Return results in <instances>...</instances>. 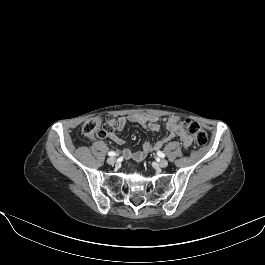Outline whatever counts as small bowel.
Returning a JSON list of instances; mask_svg holds the SVG:
<instances>
[{
	"label": "small bowel",
	"mask_w": 265,
	"mask_h": 265,
	"mask_svg": "<svg viewBox=\"0 0 265 265\" xmlns=\"http://www.w3.org/2000/svg\"><path fill=\"white\" fill-rule=\"evenodd\" d=\"M160 122H163L169 131L166 137L156 142L145 141L138 151L125 149L122 152L123 157L135 161L143 160L149 153L160 149L164 143L175 137H178L182 141L185 148H190L192 146L193 138L182 126V119L178 116L161 118L148 113H132L120 116L113 121V127L108 131L107 136L114 143L123 145L125 141L120 137L119 133L123 131L128 124H138L151 132H158L160 130Z\"/></svg>",
	"instance_id": "1"
}]
</instances>
